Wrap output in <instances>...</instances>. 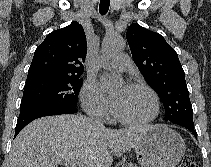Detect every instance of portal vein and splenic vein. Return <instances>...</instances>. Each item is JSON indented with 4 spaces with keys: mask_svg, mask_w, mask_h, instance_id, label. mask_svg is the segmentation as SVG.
I'll return each mask as SVG.
<instances>
[{
    "mask_svg": "<svg viewBox=\"0 0 211 167\" xmlns=\"http://www.w3.org/2000/svg\"><path fill=\"white\" fill-rule=\"evenodd\" d=\"M59 163L65 167H82L79 161H59Z\"/></svg>",
    "mask_w": 211,
    "mask_h": 167,
    "instance_id": "18ae733b",
    "label": "portal vein and splenic vein"
}]
</instances>
